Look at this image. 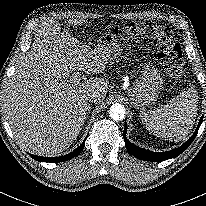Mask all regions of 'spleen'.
Wrapping results in <instances>:
<instances>
[{"instance_id": "obj_1", "label": "spleen", "mask_w": 206, "mask_h": 206, "mask_svg": "<svg viewBox=\"0 0 206 206\" xmlns=\"http://www.w3.org/2000/svg\"><path fill=\"white\" fill-rule=\"evenodd\" d=\"M197 105L198 92L191 86L163 107L144 112L142 121L157 137L170 141L184 140L194 125Z\"/></svg>"}]
</instances>
